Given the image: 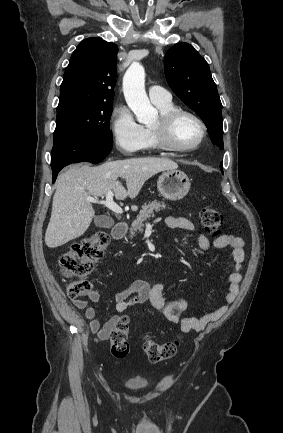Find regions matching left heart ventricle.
I'll list each match as a JSON object with an SVG mask.
<instances>
[{
    "label": "left heart ventricle",
    "mask_w": 283,
    "mask_h": 433,
    "mask_svg": "<svg viewBox=\"0 0 283 433\" xmlns=\"http://www.w3.org/2000/svg\"><path fill=\"white\" fill-rule=\"evenodd\" d=\"M201 134L198 123L189 116L178 119L174 129V139L178 145L184 147L195 142Z\"/></svg>",
    "instance_id": "obj_1"
}]
</instances>
